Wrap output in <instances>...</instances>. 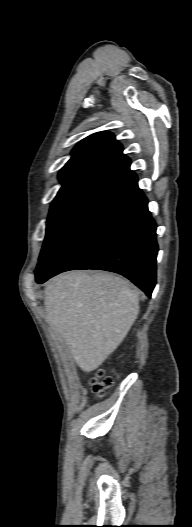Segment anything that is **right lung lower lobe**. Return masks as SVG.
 Segmentation results:
<instances>
[{"instance_id": "1", "label": "right lung lower lobe", "mask_w": 192, "mask_h": 527, "mask_svg": "<svg viewBox=\"0 0 192 527\" xmlns=\"http://www.w3.org/2000/svg\"><path fill=\"white\" fill-rule=\"evenodd\" d=\"M130 167L108 181L39 261L36 282L74 269L121 274L151 296L156 283V224Z\"/></svg>"}]
</instances>
